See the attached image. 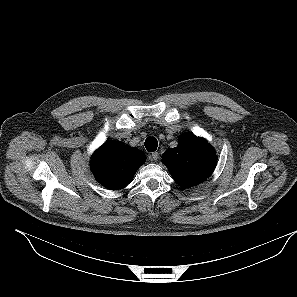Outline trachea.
Returning a JSON list of instances; mask_svg holds the SVG:
<instances>
[{
    "instance_id": "1",
    "label": "trachea",
    "mask_w": 297,
    "mask_h": 297,
    "mask_svg": "<svg viewBox=\"0 0 297 297\" xmlns=\"http://www.w3.org/2000/svg\"><path fill=\"white\" fill-rule=\"evenodd\" d=\"M145 147L147 149V151L149 152H154L157 150L158 147V141L155 137H148L145 140Z\"/></svg>"
}]
</instances>
